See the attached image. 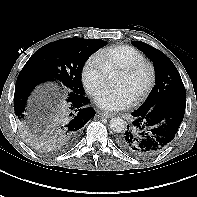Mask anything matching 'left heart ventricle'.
<instances>
[{
	"label": "left heart ventricle",
	"instance_id": "1",
	"mask_svg": "<svg viewBox=\"0 0 197 197\" xmlns=\"http://www.w3.org/2000/svg\"><path fill=\"white\" fill-rule=\"evenodd\" d=\"M149 81V70L141 69L136 75L127 77L118 74L115 86L125 88L133 98H136L146 87Z\"/></svg>",
	"mask_w": 197,
	"mask_h": 197
}]
</instances>
